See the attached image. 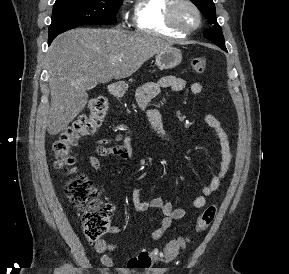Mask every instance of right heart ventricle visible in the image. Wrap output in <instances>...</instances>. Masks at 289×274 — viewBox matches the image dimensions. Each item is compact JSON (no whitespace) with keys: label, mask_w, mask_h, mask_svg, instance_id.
<instances>
[{"label":"right heart ventricle","mask_w":289,"mask_h":274,"mask_svg":"<svg viewBox=\"0 0 289 274\" xmlns=\"http://www.w3.org/2000/svg\"><path fill=\"white\" fill-rule=\"evenodd\" d=\"M172 0H136L133 6L132 20L137 31L170 36L183 37L166 23V10Z\"/></svg>","instance_id":"obj_1"}]
</instances>
